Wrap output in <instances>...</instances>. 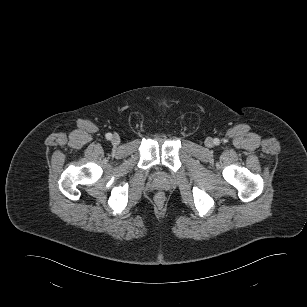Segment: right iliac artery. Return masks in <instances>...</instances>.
<instances>
[{
  "label": "right iliac artery",
  "instance_id": "1",
  "mask_svg": "<svg viewBox=\"0 0 307 307\" xmlns=\"http://www.w3.org/2000/svg\"><path fill=\"white\" fill-rule=\"evenodd\" d=\"M112 138V134L111 133H107L106 134V139L110 140Z\"/></svg>",
  "mask_w": 307,
  "mask_h": 307
}]
</instances>
